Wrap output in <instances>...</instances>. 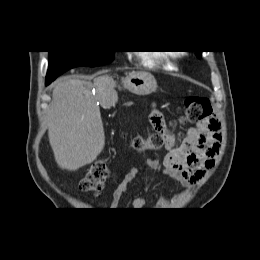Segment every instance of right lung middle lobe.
Returning a JSON list of instances; mask_svg holds the SVG:
<instances>
[{"label":"right lung middle lobe","instance_id":"1","mask_svg":"<svg viewBox=\"0 0 260 260\" xmlns=\"http://www.w3.org/2000/svg\"><path fill=\"white\" fill-rule=\"evenodd\" d=\"M113 58L114 51H49V67L46 80L51 83L59 75L71 68L100 66L110 63Z\"/></svg>","mask_w":260,"mask_h":260}]
</instances>
